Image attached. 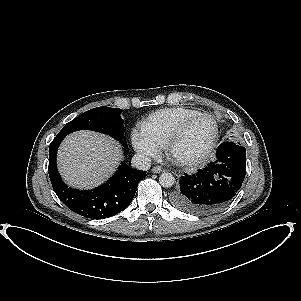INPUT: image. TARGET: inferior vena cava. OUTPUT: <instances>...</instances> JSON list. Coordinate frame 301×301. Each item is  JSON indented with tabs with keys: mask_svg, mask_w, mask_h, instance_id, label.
<instances>
[{
	"mask_svg": "<svg viewBox=\"0 0 301 301\" xmlns=\"http://www.w3.org/2000/svg\"><path fill=\"white\" fill-rule=\"evenodd\" d=\"M131 165L140 171H147L151 167V159L145 155L135 154L132 158Z\"/></svg>",
	"mask_w": 301,
	"mask_h": 301,
	"instance_id": "inferior-vena-cava-1",
	"label": "inferior vena cava"
}]
</instances>
